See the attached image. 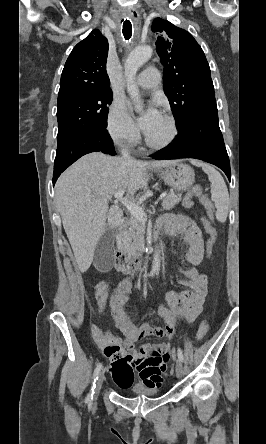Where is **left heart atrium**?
Wrapping results in <instances>:
<instances>
[{"label":"left heart atrium","instance_id":"39dd6f15","mask_svg":"<svg viewBox=\"0 0 266 444\" xmlns=\"http://www.w3.org/2000/svg\"><path fill=\"white\" fill-rule=\"evenodd\" d=\"M161 116L162 115L157 107L155 105H151L139 119L141 128L147 132Z\"/></svg>","mask_w":266,"mask_h":444}]
</instances>
